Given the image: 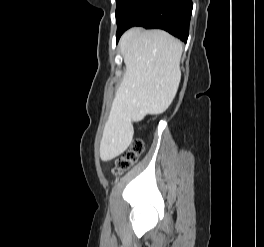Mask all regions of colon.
<instances>
[{
	"instance_id": "1",
	"label": "colon",
	"mask_w": 264,
	"mask_h": 247,
	"mask_svg": "<svg viewBox=\"0 0 264 247\" xmlns=\"http://www.w3.org/2000/svg\"><path fill=\"white\" fill-rule=\"evenodd\" d=\"M143 150V142L140 140L134 141L130 148L117 158L115 174H121L132 167Z\"/></svg>"
}]
</instances>
